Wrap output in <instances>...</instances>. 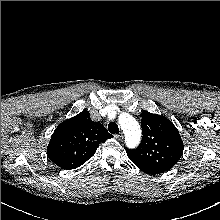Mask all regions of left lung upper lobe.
Here are the masks:
<instances>
[{
    "label": "left lung upper lobe",
    "mask_w": 220,
    "mask_h": 220,
    "mask_svg": "<svg viewBox=\"0 0 220 220\" xmlns=\"http://www.w3.org/2000/svg\"><path fill=\"white\" fill-rule=\"evenodd\" d=\"M143 138L136 149L124 147L129 159L152 174L170 170L181 158L184 145L174 124L164 116L141 113Z\"/></svg>",
    "instance_id": "1"
}]
</instances>
